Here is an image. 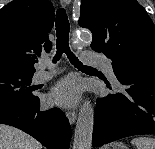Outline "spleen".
<instances>
[{
  "label": "spleen",
  "mask_w": 155,
  "mask_h": 149,
  "mask_svg": "<svg viewBox=\"0 0 155 149\" xmlns=\"http://www.w3.org/2000/svg\"><path fill=\"white\" fill-rule=\"evenodd\" d=\"M131 143L137 149H155V139L150 137H136L131 140Z\"/></svg>",
  "instance_id": "1"
}]
</instances>
